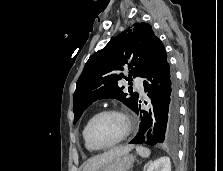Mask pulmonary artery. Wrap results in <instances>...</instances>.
Here are the masks:
<instances>
[{
    "label": "pulmonary artery",
    "mask_w": 223,
    "mask_h": 171,
    "mask_svg": "<svg viewBox=\"0 0 223 171\" xmlns=\"http://www.w3.org/2000/svg\"><path fill=\"white\" fill-rule=\"evenodd\" d=\"M135 87L139 90L141 94H144L143 82L140 79L135 80Z\"/></svg>",
    "instance_id": "obj_1"
}]
</instances>
